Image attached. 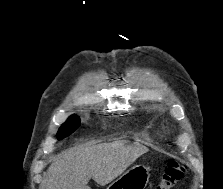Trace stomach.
Returning <instances> with one entry per match:
<instances>
[{
    "instance_id": "0dacf381",
    "label": "stomach",
    "mask_w": 223,
    "mask_h": 189,
    "mask_svg": "<svg viewBox=\"0 0 223 189\" xmlns=\"http://www.w3.org/2000/svg\"><path fill=\"white\" fill-rule=\"evenodd\" d=\"M149 178V168L145 165H136L119 176L107 189H145Z\"/></svg>"
}]
</instances>
